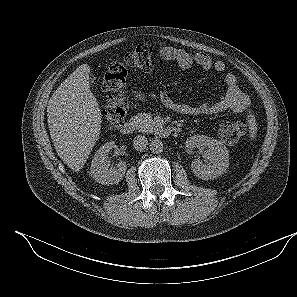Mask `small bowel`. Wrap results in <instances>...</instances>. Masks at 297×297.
<instances>
[{
	"mask_svg": "<svg viewBox=\"0 0 297 297\" xmlns=\"http://www.w3.org/2000/svg\"><path fill=\"white\" fill-rule=\"evenodd\" d=\"M156 56L161 61L175 62L182 69H189L194 65L201 67L206 71L224 72L225 64L220 60H213L206 54L197 53L190 54L181 49L173 47H160ZM225 93L224 96L215 103H201L198 105H187L175 102L167 93H160V101L164 107L179 114L205 116L231 111L236 114H243L250 107V100L247 94L241 91L237 85L236 77L231 73H226L224 76ZM134 96L138 100H143L141 93L135 92Z\"/></svg>",
	"mask_w": 297,
	"mask_h": 297,
	"instance_id": "small-bowel-1",
	"label": "small bowel"
}]
</instances>
